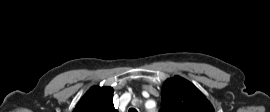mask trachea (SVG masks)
<instances>
[{
	"mask_svg": "<svg viewBox=\"0 0 270 112\" xmlns=\"http://www.w3.org/2000/svg\"><path fill=\"white\" fill-rule=\"evenodd\" d=\"M129 112H138L135 108H130Z\"/></svg>",
	"mask_w": 270,
	"mask_h": 112,
	"instance_id": "obj_1",
	"label": "trachea"
}]
</instances>
